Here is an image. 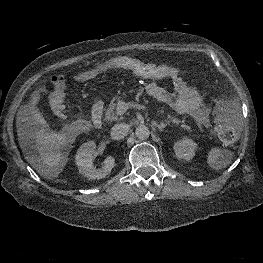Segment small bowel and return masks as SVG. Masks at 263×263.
Masks as SVG:
<instances>
[{"label":"small bowel","instance_id":"1","mask_svg":"<svg viewBox=\"0 0 263 263\" xmlns=\"http://www.w3.org/2000/svg\"><path fill=\"white\" fill-rule=\"evenodd\" d=\"M170 80L173 84V91H168L155 82L145 83L144 89L149 96L171 107L178 114H187L192 116L200 127H209L210 107L208 103L202 99L199 92L196 89L188 86L180 76H172L170 77ZM40 95L41 92H36L32 96L30 103L25 108L27 111L33 110V107L39 100ZM63 98L64 94L62 95L59 102V107L57 108L51 96L52 108L57 113H61Z\"/></svg>","mask_w":263,"mask_h":263}]
</instances>
